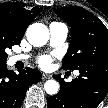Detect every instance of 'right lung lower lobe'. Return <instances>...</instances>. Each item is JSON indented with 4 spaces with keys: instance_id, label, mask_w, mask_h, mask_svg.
Wrapping results in <instances>:
<instances>
[{
    "instance_id": "1",
    "label": "right lung lower lobe",
    "mask_w": 108,
    "mask_h": 108,
    "mask_svg": "<svg viewBox=\"0 0 108 108\" xmlns=\"http://www.w3.org/2000/svg\"><path fill=\"white\" fill-rule=\"evenodd\" d=\"M40 71L25 68L15 74L8 71L6 63L0 64V108H19L24 100L27 88L39 82Z\"/></svg>"
}]
</instances>
